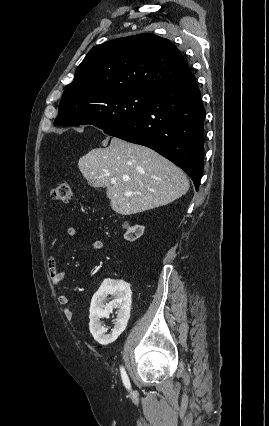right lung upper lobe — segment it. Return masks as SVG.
<instances>
[{"mask_svg": "<svg viewBox=\"0 0 269 426\" xmlns=\"http://www.w3.org/2000/svg\"><path fill=\"white\" fill-rule=\"evenodd\" d=\"M191 73L168 39L142 33L92 48L78 66L62 97L90 98L110 92L155 89Z\"/></svg>", "mask_w": 269, "mask_h": 426, "instance_id": "cb5924a9", "label": "right lung upper lobe"}]
</instances>
